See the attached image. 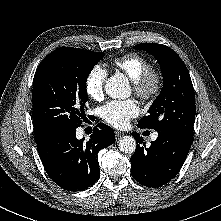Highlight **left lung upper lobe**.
Here are the masks:
<instances>
[{
	"instance_id": "left-lung-upper-lobe-1",
	"label": "left lung upper lobe",
	"mask_w": 221,
	"mask_h": 221,
	"mask_svg": "<svg viewBox=\"0 0 221 221\" xmlns=\"http://www.w3.org/2000/svg\"><path fill=\"white\" fill-rule=\"evenodd\" d=\"M135 49L151 53L160 64L163 87L138 127L178 130L193 136L195 120L194 89L187 67L171 48L157 43H141Z\"/></svg>"
}]
</instances>
